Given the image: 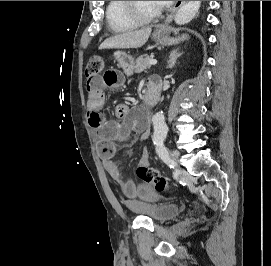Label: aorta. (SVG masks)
<instances>
[{
  "label": "aorta",
  "instance_id": "762f6f07",
  "mask_svg": "<svg viewBox=\"0 0 271 266\" xmlns=\"http://www.w3.org/2000/svg\"><path fill=\"white\" fill-rule=\"evenodd\" d=\"M200 5L201 1H187L176 12L174 17L175 23L178 25L189 23L195 17ZM152 121L154 127L153 138L155 140H163L168 132L163 113L159 112L155 114Z\"/></svg>",
  "mask_w": 271,
  "mask_h": 266
}]
</instances>
